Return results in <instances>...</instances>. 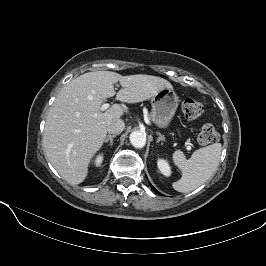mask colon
<instances>
[{
	"mask_svg": "<svg viewBox=\"0 0 266 266\" xmlns=\"http://www.w3.org/2000/svg\"><path fill=\"white\" fill-rule=\"evenodd\" d=\"M182 111L187 119L194 120L202 115L203 105L194 99L188 98L182 104ZM218 138L219 134L211 124L204 125L198 134V142L201 145L212 144L216 142Z\"/></svg>",
	"mask_w": 266,
	"mask_h": 266,
	"instance_id": "5ec220e1",
	"label": "colon"
}]
</instances>
